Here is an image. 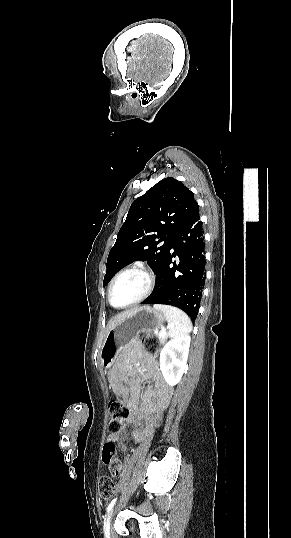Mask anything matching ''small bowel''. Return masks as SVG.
Listing matches in <instances>:
<instances>
[{
	"instance_id": "1",
	"label": "small bowel",
	"mask_w": 291,
	"mask_h": 538,
	"mask_svg": "<svg viewBox=\"0 0 291 538\" xmlns=\"http://www.w3.org/2000/svg\"><path fill=\"white\" fill-rule=\"evenodd\" d=\"M107 370L113 394L129 404L130 412L125 423L134 427L132 438L133 442L138 444L148 436L157 404L166 402L171 397L172 387L163 382L158 363L147 354L124 351L117 363H109ZM144 380H151L156 387L142 396L140 387ZM126 435V431L122 429L109 435L106 442L117 444L121 451H125ZM109 467L114 476H121L123 466L120 460L116 459L115 464Z\"/></svg>"
}]
</instances>
